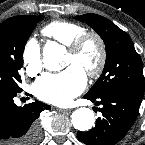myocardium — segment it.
Returning <instances> with one entry per match:
<instances>
[{"instance_id": "myocardium-1", "label": "myocardium", "mask_w": 145, "mask_h": 145, "mask_svg": "<svg viewBox=\"0 0 145 145\" xmlns=\"http://www.w3.org/2000/svg\"><path fill=\"white\" fill-rule=\"evenodd\" d=\"M90 40L97 44L99 58L97 65L93 69L87 70L85 73L90 78H98L104 72L107 64V47L104 39L100 34L93 31H86L82 33L67 46L68 52L73 55L79 54L84 45Z\"/></svg>"}]
</instances>
